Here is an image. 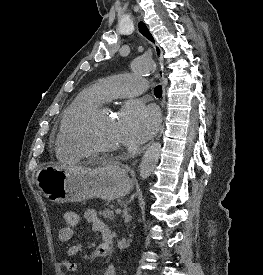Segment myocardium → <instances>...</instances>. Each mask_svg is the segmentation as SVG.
I'll return each instance as SVG.
<instances>
[{
	"label": "myocardium",
	"mask_w": 263,
	"mask_h": 275,
	"mask_svg": "<svg viewBox=\"0 0 263 275\" xmlns=\"http://www.w3.org/2000/svg\"><path fill=\"white\" fill-rule=\"evenodd\" d=\"M107 113H112V109L104 104H100L81 115L68 131L67 139L83 155H107L121 150L122 146L119 145L99 147L90 145L80 138V133L84 128L90 126L93 122Z\"/></svg>",
	"instance_id": "f54148a6"
}]
</instances>
